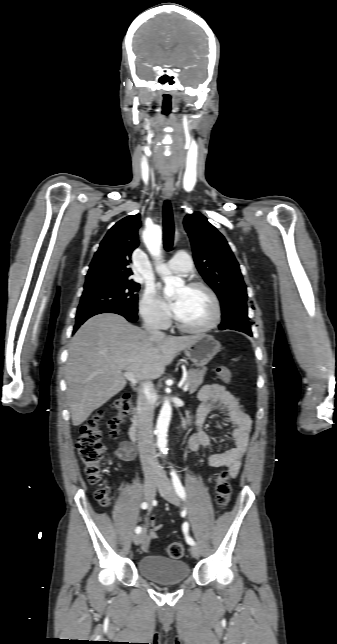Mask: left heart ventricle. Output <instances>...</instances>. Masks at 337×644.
<instances>
[{
	"label": "left heart ventricle",
	"mask_w": 337,
	"mask_h": 644,
	"mask_svg": "<svg viewBox=\"0 0 337 644\" xmlns=\"http://www.w3.org/2000/svg\"><path fill=\"white\" fill-rule=\"evenodd\" d=\"M176 298H180V305L174 315L186 326L202 327L211 320L213 305L204 290L183 287L176 292Z\"/></svg>",
	"instance_id": "1"
}]
</instances>
